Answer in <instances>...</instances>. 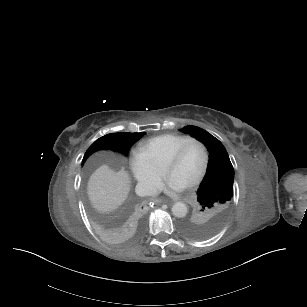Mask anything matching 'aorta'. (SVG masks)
Here are the masks:
<instances>
[{"label": "aorta", "mask_w": 307, "mask_h": 307, "mask_svg": "<svg viewBox=\"0 0 307 307\" xmlns=\"http://www.w3.org/2000/svg\"><path fill=\"white\" fill-rule=\"evenodd\" d=\"M171 211L175 217L183 218L187 214V206L183 202H176Z\"/></svg>", "instance_id": "762f6f07"}]
</instances>
